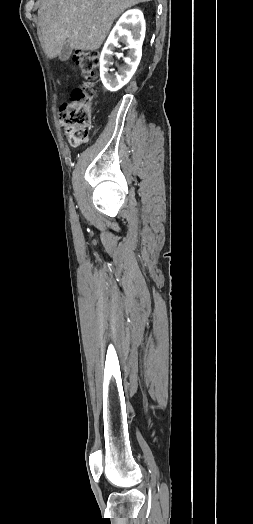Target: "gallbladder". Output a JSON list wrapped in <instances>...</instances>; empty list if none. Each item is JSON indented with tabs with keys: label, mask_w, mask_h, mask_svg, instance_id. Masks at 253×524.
<instances>
[{
	"label": "gallbladder",
	"mask_w": 253,
	"mask_h": 524,
	"mask_svg": "<svg viewBox=\"0 0 253 524\" xmlns=\"http://www.w3.org/2000/svg\"><path fill=\"white\" fill-rule=\"evenodd\" d=\"M71 53H72V47L70 46L68 42H66L59 53V59L61 61H67Z\"/></svg>",
	"instance_id": "obj_1"
}]
</instances>
